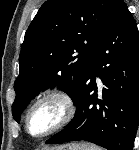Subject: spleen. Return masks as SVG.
I'll return each mask as SVG.
<instances>
[{"label":"spleen","instance_id":"1","mask_svg":"<svg viewBox=\"0 0 139 150\" xmlns=\"http://www.w3.org/2000/svg\"><path fill=\"white\" fill-rule=\"evenodd\" d=\"M81 146H82V149H83V150H101L100 147L94 146V145L82 144Z\"/></svg>","mask_w":139,"mask_h":150}]
</instances>
